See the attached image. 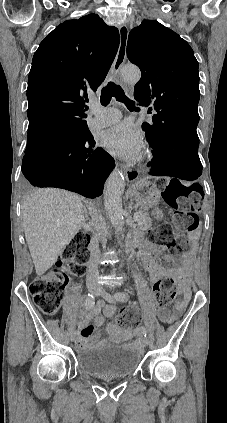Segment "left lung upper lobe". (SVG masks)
Returning a JSON list of instances; mask_svg holds the SVG:
<instances>
[{
    "label": "left lung upper lobe",
    "instance_id": "left-lung-upper-lobe-1",
    "mask_svg": "<svg viewBox=\"0 0 227 423\" xmlns=\"http://www.w3.org/2000/svg\"><path fill=\"white\" fill-rule=\"evenodd\" d=\"M127 56L142 73L134 87L135 100L157 111L153 123L142 125L146 137L154 127L199 121L198 62L184 39L155 20H144L129 34Z\"/></svg>",
    "mask_w": 227,
    "mask_h": 423
}]
</instances>
